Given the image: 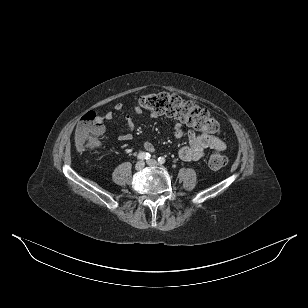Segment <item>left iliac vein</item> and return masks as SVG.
<instances>
[{"mask_svg":"<svg viewBox=\"0 0 308 308\" xmlns=\"http://www.w3.org/2000/svg\"><path fill=\"white\" fill-rule=\"evenodd\" d=\"M147 164H148L149 166H156V165H158V162H157V160H155V159H149V160L147 161Z\"/></svg>","mask_w":308,"mask_h":308,"instance_id":"obj_1","label":"left iliac vein"}]
</instances>
